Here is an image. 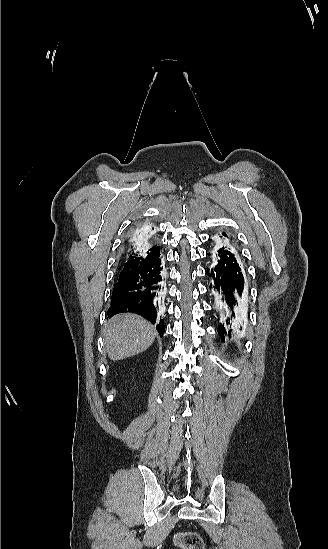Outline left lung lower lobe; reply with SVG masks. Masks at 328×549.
<instances>
[{
	"mask_svg": "<svg viewBox=\"0 0 328 549\" xmlns=\"http://www.w3.org/2000/svg\"><path fill=\"white\" fill-rule=\"evenodd\" d=\"M208 255L212 258V267L206 274L211 278L210 290L215 294L216 304L226 324L231 327L232 320H236L240 312L242 296L246 293L242 269L236 259V250L226 242L218 244ZM218 333L223 341L224 334L231 336V330L220 324Z\"/></svg>",
	"mask_w": 328,
	"mask_h": 549,
	"instance_id": "0a47b994",
	"label": "left lung lower lobe"
}]
</instances>
